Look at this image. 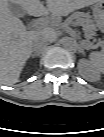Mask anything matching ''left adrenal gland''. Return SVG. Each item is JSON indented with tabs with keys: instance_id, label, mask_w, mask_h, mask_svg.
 I'll return each mask as SVG.
<instances>
[{
	"instance_id": "left-adrenal-gland-1",
	"label": "left adrenal gland",
	"mask_w": 104,
	"mask_h": 137,
	"mask_svg": "<svg viewBox=\"0 0 104 137\" xmlns=\"http://www.w3.org/2000/svg\"><path fill=\"white\" fill-rule=\"evenodd\" d=\"M79 52L85 54L84 49L82 47H80Z\"/></svg>"
}]
</instances>
